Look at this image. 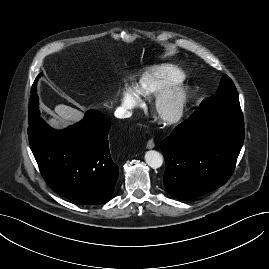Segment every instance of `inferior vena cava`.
<instances>
[{
  "instance_id": "obj_1",
  "label": "inferior vena cava",
  "mask_w": 269,
  "mask_h": 269,
  "mask_svg": "<svg viewBox=\"0 0 269 269\" xmlns=\"http://www.w3.org/2000/svg\"><path fill=\"white\" fill-rule=\"evenodd\" d=\"M132 113L126 109L123 108H117L115 111V117L117 118H129L131 117Z\"/></svg>"
}]
</instances>
